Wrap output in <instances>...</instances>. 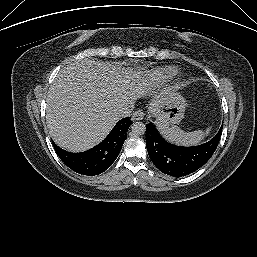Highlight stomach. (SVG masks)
<instances>
[{
  "label": "stomach",
  "instance_id": "0dacf381",
  "mask_svg": "<svg viewBox=\"0 0 257 257\" xmlns=\"http://www.w3.org/2000/svg\"><path fill=\"white\" fill-rule=\"evenodd\" d=\"M186 101L184 97L172 89H166L161 103L150 111L156 118L157 125L178 124L184 118Z\"/></svg>",
  "mask_w": 257,
  "mask_h": 257
}]
</instances>
